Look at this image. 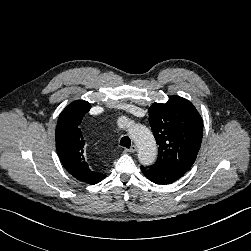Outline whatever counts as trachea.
<instances>
[{"mask_svg": "<svg viewBox=\"0 0 251 251\" xmlns=\"http://www.w3.org/2000/svg\"><path fill=\"white\" fill-rule=\"evenodd\" d=\"M120 145L126 148H130L131 146L130 138L127 136L122 137V139L120 140Z\"/></svg>", "mask_w": 251, "mask_h": 251, "instance_id": "trachea-1", "label": "trachea"}]
</instances>
